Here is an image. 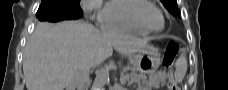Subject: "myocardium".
Segmentation results:
<instances>
[{
	"mask_svg": "<svg viewBox=\"0 0 228 90\" xmlns=\"http://www.w3.org/2000/svg\"><path fill=\"white\" fill-rule=\"evenodd\" d=\"M147 8H153L159 13V15L162 19V26L159 29H153L147 25V23L144 19V12ZM132 16H133V19L135 20V22L139 26H141L143 29H145L147 32H160L165 28V18H164L163 12L161 11V9L158 6H156L151 1L143 0L142 4L137 6L133 10Z\"/></svg>",
	"mask_w": 228,
	"mask_h": 90,
	"instance_id": "obj_1",
	"label": "myocardium"
}]
</instances>
